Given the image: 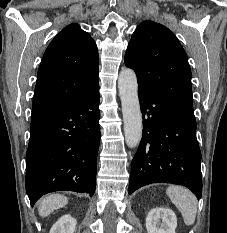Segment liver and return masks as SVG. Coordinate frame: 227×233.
I'll return each instance as SVG.
<instances>
[{
    "instance_id": "liver-1",
    "label": "liver",
    "mask_w": 227,
    "mask_h": 233,
    "mask_svg": "<svg viewBox=\"0 0 227 233\" xmlns=\"http://www.w3.org/2000/svg\"><path fill=\"white\" fill-rule=\"evenodd\" d=\"M68 203V198L60 194H51L40 200L38 212L40 216L47 217L54 210L64 207Z\"/></svg>"
}]
</instances>
